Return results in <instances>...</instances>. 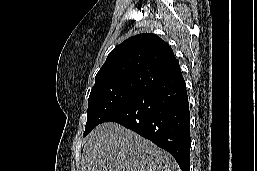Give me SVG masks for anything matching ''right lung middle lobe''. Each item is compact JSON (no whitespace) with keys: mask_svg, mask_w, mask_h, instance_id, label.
I'll list each match as a JSON object with an SVG mask.
<instances>
[{"mask_svg":"<svg viewBox=\"0 0 257 171\" xmlns=\"http://www.w3.org/2000/svg\"><path fill=\"white\" fill-rule=\"evenodd\" d=\"M147 87L143 84H111L93 88L89 96L88 118L83 136L89 134L98 124L138 95Z\"/></svg>","mask_w":257,"mask_h":171,"instance_id":"obj_1","label":"right lung middle lobe"}]
</instances>
